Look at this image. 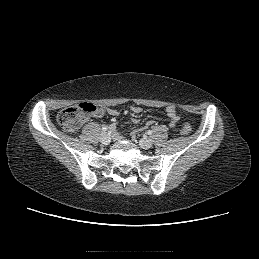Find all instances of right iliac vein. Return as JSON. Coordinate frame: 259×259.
I'll list each match as a JSON object with an SVG mask.
<instances>
[{
  "label": "right iliac vein",
  "mask_w": 259,
  "mask_h": 259,
  "mask_svg": "<svg viewBox=\"0 0 259 259\" xmlns=\"http://www.w3.org/2000/svg\"><path fill=\"white\" fill-rule=\"evenodd\" d=\"M101 142L104 144V145H108L111 141V138L109 136V134L107 133H103L101 135V138H100Z\"/></svg>",
  "instance_id": "obj_1"
}]
</instances>
